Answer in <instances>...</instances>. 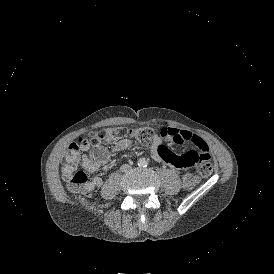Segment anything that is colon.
<instances>
[{
  "instance_id": "obj_1",
  "label": "colon",
  "mask_w": 274,
  "mask_h": 274,
  "mask_svg": "<svg viewBox=\"0 0 274 274\" xmlns=\"http://www.w3.org/2000/svg\"><path fill=\"white\" fill-rule=\"evenodd\" d=\"M124 130L120 127L114 126L105 129L101 133V140L104 143L111 144L117 141L121 136H123ZM128 135L135 138L140 142H148L154 136V131L150 128H137L132 127L128 130ZM91 141L79 139L78 146H68V149L64 156V163L62 164V171L64 176L68 179L69 185L75 190L84 189L89 187L88 175L78 168L79 160V146L81 149H90ZM193 170L190 173H187L182 178V184L185 188L191 189L197 185L200 181Z\"/></svg>"
}]
</instances>
